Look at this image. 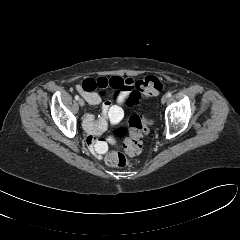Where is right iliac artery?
Masks as SVG:
<instances>
[{
  "label": "right iliac artery",
  "mask_w": 240,
  "mask_h": 240,
  "mask_svg": "<svg viewBox=\"0 0 240 240\" xmlns=\"http://www.w3.org/2000/svg\"><path fill=\"white\" fill-rule=\"evenodd\" d=\"M75 99H76V100H79V96H78V95H76V96H75Z\"/></svg>",
  "instance_id": "obj_1"
}]
</instances>
